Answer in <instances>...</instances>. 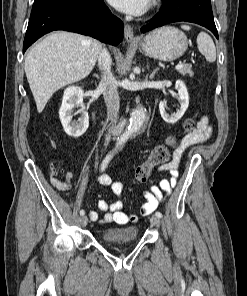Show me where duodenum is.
<instances>
[{"mask_svg": "<svg viewBox=\"0 0 247 296\" xmlns=\"http://www.w3.org/2000/svg\"><path fill=\"white\" fill-rule=\"evenodd\" d=\"M126 123V121H123V122H120L118 124H116L114 126V131L118 134L122 131L123 127H124V124Z\"/></svg>", "mask_w": 247, "mask_h": 296, "instance_id": "1", "label": "duodenum"}]
</instances>
